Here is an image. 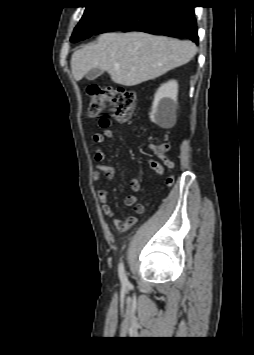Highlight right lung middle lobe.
<instances>
[{
    "instance_id": "obj_1",
    "label": "right lung middle lobe",
    "mask_w": 254,
    "mask_h": 355,
    "mask_svg": "<svg viewBox=\"0 0 254 355\" xmlns=\"http://www.w3.org/2000/svg\"><path fill=\"white\" fill-rule=\"evenodd\" d=\"M122 3L114 0H104L90 3L86 7L84 15L75 27L71 37L72 40H83L95 34L105 20L113 13Z\"/></svg>"
}]
</instances>
